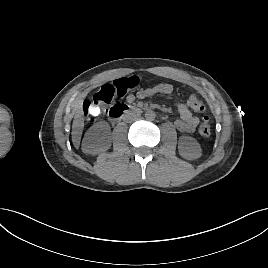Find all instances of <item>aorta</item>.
<instances>
[{
  "instance_id": "obj_1",
  "label": "aorta",
  "mask_w": 268,
  "mask_h": 268,
  "mask_svg": "<svg viewBox=\"0 0 268 268\" xmlns=\"http://www.w3.org/2000/svg\"><path fill=\"white\" fill-rule=\"evenodd\" d=\"M155 117H156V114H155V112L154 111H147L146 113H145V118H146V120H149V121H153L154 119H155Z\"/></svg>"
}]
</instances>
